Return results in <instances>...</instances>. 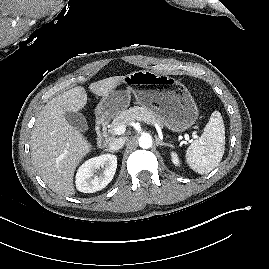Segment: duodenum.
Listing matches in <instances>:
<instances>
[{"instance_id":"duodenum-1","label":"duodenum","mask_w":269,"mask_h":269,"mask_svg":"<svg viewBox=\"0 0 269 269\" xmlns=\"http://www.w3.org/2000/svg\"><path fill=\"white\" fill-rule=\"evenodd\" d=\"M96 133H97V146L99 148H105L110 140L108 133V123L105 119L101 118L97 121Z\"/></svg>"}]
</instances>
